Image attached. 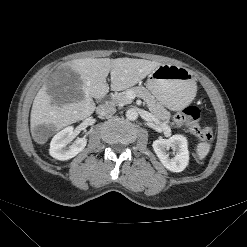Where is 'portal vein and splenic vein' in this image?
<instances>
[{
	"mask_svg": "<svg viewBox=\"0 0 247 247\" xmlns=\"http://www.w3.org/2000/svg\"><path fill=\"white\" fill-rule=\"evenodd\" d=\"M134 97H135V95H133L132 93H129V94H128V98H129V99H134Z\"/></svg>",
	"mask_w": 247,
	"mask_h": 247,
	"instance_id": "1",
	"label": "portal vein and splenic vein"
}]
</instances>
